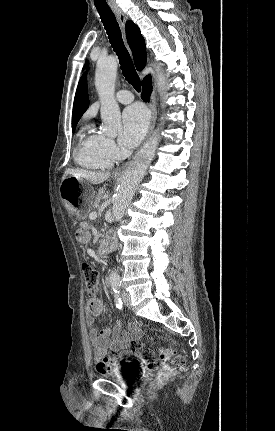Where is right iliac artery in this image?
I'll use <instances>...</instances> for the list:
<instances>
[{"instance_id": "1", "label": "right iliac artery", "mask_w": 275, "mask_h": 431, "mask_svg": "<svg viewBox=\"0 0 275 431\" xmlns=\"http://www.w3.org/2000/svg\"><path fill=\"white\" fill-rule=\"evenodd\" d=\"M113 291H114V297H115V303H116V307L121 309L122 308V300L120 297V290H119V285L118 284H114L113 285Z\"/></svg>"}]
</instances>
